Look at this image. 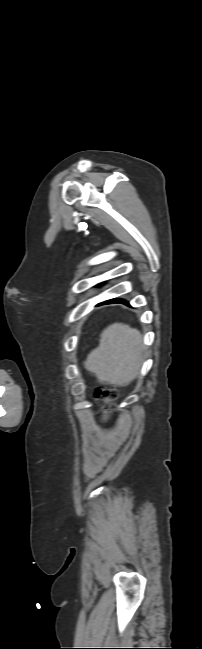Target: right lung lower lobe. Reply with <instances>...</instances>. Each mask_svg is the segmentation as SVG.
Wrapping results in <instances>:
<instances>
[{
    "instance_id": "obj_1",
    "label": "right lung lower lobe",
    "mask_w": 202,
    "mask_h": 649,
    "mask_svg": "<svg viewBox=\"0 0 202 649\" xmlns=\"http://www.w3.org/2000/svg\"><path fill=\"white\" fill-rule=\"evenodd\" d=\"M104 303H106V304L107 303H123V304H126V305L128 304L126 301H124L122 299H113V300H109V301L104 302Z\"/></svg>"
}]
</instances>
